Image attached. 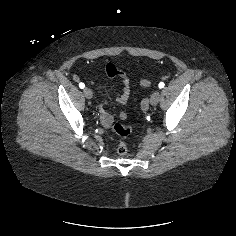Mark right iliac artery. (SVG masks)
<instances>
[{
    "instance_id": "82829eb1",
    "label": "right iliac artery",
    "mask_w": 236,
    "mask_h": 236,
    "mask_svg": "<svg viewBox=\"0 0 236 236\" xmlns=\"http://www.w3.org/2000/svg\"><path fill=\"white\" fill-rule=\"evenodd\" d=\"M79 87L81 88V89H84V87H85V85H84V83H79Z\"/></svg>"
}]
</instances>
